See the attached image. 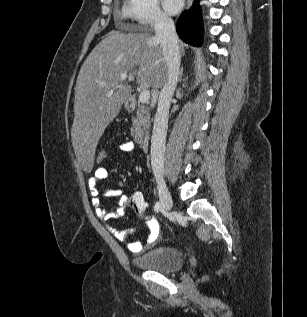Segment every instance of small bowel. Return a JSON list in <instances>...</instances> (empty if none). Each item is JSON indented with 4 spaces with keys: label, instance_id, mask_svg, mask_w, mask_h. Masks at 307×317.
<instances>
[{
    "label": "small bowel",
    "instance_id": "small-bowel-1",
    "mask_svg": "<svg viewBox=\"0 0 307 317\" xmlns=\"http://www.w3.org/2000/svg\"><path fill=\"white\" fill-rule=\"evenodd\" d=\"M135 150V144L132 141H125L118 145L117 151L122 154H128ZM108 176V169L106 167H98L94 170L93 176L89 179V188L92 195V205L95 209L97 217L105 222L110 220H116L124 215V212L128 206V199L123 194L121 189H111L100 185V181ZM100 197H110L117 199V205L115 209L107 210ZM149 233L147 237L141 242H128L127 248L133 253H139L148 246H150L159 235L158 224L154 220L148 221ZM107 229L119 240L125 241L127 233L125 231L118 230L111 225H106Z\"/></svg>",
    "mask_w": 307,
    "mask_h": 317
}]
</instances>
